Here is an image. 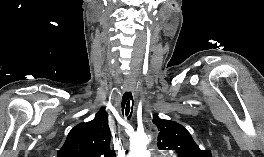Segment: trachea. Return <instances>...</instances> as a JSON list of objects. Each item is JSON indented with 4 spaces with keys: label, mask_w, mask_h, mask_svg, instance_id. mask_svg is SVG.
<instances>
[{
    "label": "trachea",
    "mask_w": 264,
    "mask_h": 157,
    "mask_svg": "<svg viewBox=\"0 0 264 157\" xmlns=\"http://www.w3.org/2000/svg\"><path fill=\"white\" fill-rule=\"evenodd\" d=\"M122 112L130 119L133 109V97L131 92H125L122 97Z\"/></svg>",
    "instance_id": "3493384b"
}]
</instances>
